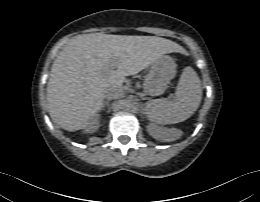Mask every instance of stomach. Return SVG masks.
Instances as JSON below:
<instances>
[{
  "label": "stomach",
  "mask_w": 260,
  "mask_h": 202,
  "mask_svg": "<svg viewBox=\"0 0 260 202\" xmlns=\"http://www.w3.org/2000/svg\"><path fill=\"white\" fill-rule=\"evenodd\" d=\"M176 72V64L168 56H161L150 67L145 76L143 89L150 96H158L164 93L167 84Z\"/></svg>",
  "instance_id": "1"
}]
</instances>
